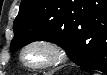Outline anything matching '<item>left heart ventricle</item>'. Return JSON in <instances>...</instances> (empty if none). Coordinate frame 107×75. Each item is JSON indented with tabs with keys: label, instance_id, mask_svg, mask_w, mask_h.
Masks as SVG:
<instances>
[{
	"label": "left heart ventricle",
	"instance_id": "1",
	"mask_svg": "<svg viewBox=\"0 0 107 75\" xmlns=\"http://www.w3.org/2000/svg\"><path fill=\"white\" fill-rule=\"evenodd\" d=\"M50 54L41 49V48H35L31 49L26 53V61L30 64H40L48 61L50 59Z\"/></svg>",
	"mask_w": 107,
	"mask_h": 75
}]
</instances>
